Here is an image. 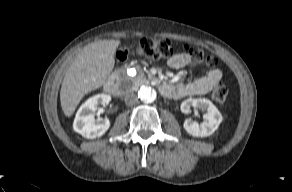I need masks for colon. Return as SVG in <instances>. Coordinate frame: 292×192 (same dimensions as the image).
Segmentation results:
<instances>
[{
    "instance_id": "colon-1",
    "label": "colon",
    "mask_w": 292,
    "mask_h": 192,
    "mask_svg": "<svg viewBox=\"0 0 292 192\" xmlns=\"http://www.w3.org/2000/svg\"><path fill=\"white\" fill-rule=\"evenodd\" d=\"M193 65H202L206 68H213L217 60L210 55L205 54L201 49L186 47ZM173 53L172 42L166 38H143L136 46L121 50L118 53L120 61L125 60L130 55L143 56L153 60H162L168 58ZM228 96V88L222 80H219L210 91V97L215 102L222 104Z\"/></svg>"
}]
</instances>
